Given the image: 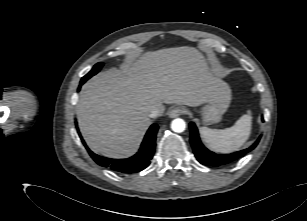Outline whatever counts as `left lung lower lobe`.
<instances>
[{"instance_id": "left-lung-lower-lobe-1", "label": "left lung lower lobe", "mask_w": 307, "mask_h": 221, "mask_svg": "<svg viewBox=\"0 0 307 221\" xmlns=\"http://www.w3.org/2000/svg\"><path fill=\"white\" fill-rule=\"evenodd\" d=\"M190 142L197 160L206 166L218 167L221 165L232 163L248 152L253 150L257 144L259 143L260 138L249 148L238 151L232 154H215L214 152L209 151L204 145L201 143L199 138L198 130L193 122L190 123Z\"/></svg>"}]
</instances>
